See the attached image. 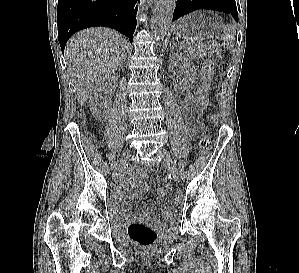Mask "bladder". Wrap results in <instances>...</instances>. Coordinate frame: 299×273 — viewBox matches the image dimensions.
<instances>
[{"label":"bladder","instance_id":"obj_1","mask_svg":"<svg viewBox=\"0 0 299 273\" xmlns=\"http://www.w3.org/2000/svg\"><path fill=\"white\" fill-rule=\"evenodd\" d=\"M115 220L117 223L121 224L128 220L127 216L121 215L119 213L115 214ZM174 219H171L170 221H173Z\"/></svg>","mask_w":299,"mask_h":273}]
</instances>
